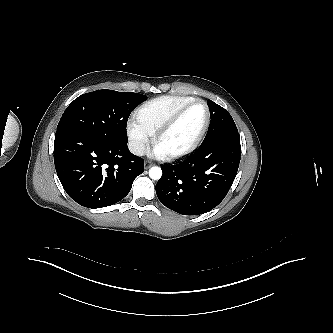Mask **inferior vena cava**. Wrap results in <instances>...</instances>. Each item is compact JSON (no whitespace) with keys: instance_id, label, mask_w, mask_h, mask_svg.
<instances>
[{"instance_id":"1","label":"inferior vena cava","mask_w":333,"mask_h":333,"mask_svg":"<svg viewBox=\"0 0 333 333\" xmlns=\"http://www.w3.org/2000/svg\"><path fill=\"white\" fill-rule=\"evenodd\" d=\"M129 150L131 153L142 156L145 153V145L142 142L139 141H130L128 143Z\"/></svg>"}]
</instances>
